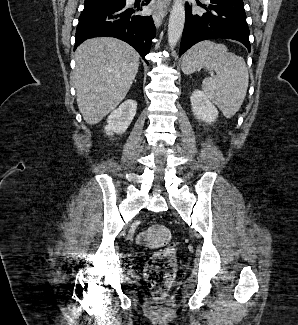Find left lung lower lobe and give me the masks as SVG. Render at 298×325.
<instances>
[{
  "instance_id": "0a47b994",
  "label": "left lung lower lobe",
  "mask_w": 298,
  "mask_h": 325,
  "mask_svg": "<svg viewBox=\"0 0 298 325\" xmlns=\"http://www.w3.org/2000/svg\"><path fill=\"white\" fill-rule=\"evenodd\" d=\"M206 12L195 14L185 7V26L180 45V56L194 44L214 38L234 39L250 52L249 28L243 0H208L200 5Z\"/></svg>"
}]
</instances>
